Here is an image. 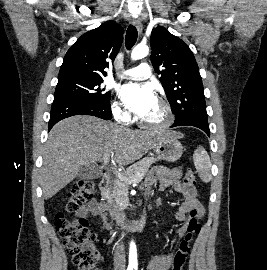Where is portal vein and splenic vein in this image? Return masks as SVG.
Instances as JSON below:
<instances>
[{"label": "portal vein and splenic vein", "mask_w": 267, "mask_h": 270, "mask_svg": "<svg viewBox=\"0 0 267 270\" xmlns=\"http://www.w3.org/2000/svg\"><path fill=\"white\" fill-rule=\"evenodd\" d=\"M103 162H104V164H108V162H109V156L103 157ZM112 169H113L114 174H115L118 178H120L121 180L125 181L126 183L138 182L137 179L123 177V176H122V173L117 172L114 168H112Z\"/></svg>", "instance_id": "1"}]
</instances>
